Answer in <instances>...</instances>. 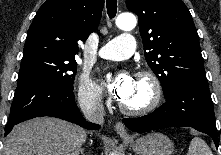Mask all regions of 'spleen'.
<instances>
[{
  "label": "spleen",
  "mask_w": 221,
  "mask_h": 155,
  "mask_svg": "<svg viewBox=\"0 0 221 155\" xmlns=\"http://www.w3.org/2000/svg\"><path fill=\"white\" fill-rule=\"evenodd\" d=\"M187 155H213L209 146L199 137H194L190 143Z\"/></svg>",
  "instance_id": "3e777b00"
}]
</instances>
